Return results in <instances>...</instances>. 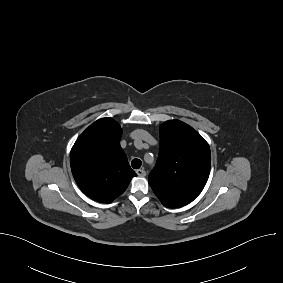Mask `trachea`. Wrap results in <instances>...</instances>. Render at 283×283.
Returning <instances> with one entry per match:
<instances>
[{"label":"trachea","instance_id":"1","mask_svg":"<svg viewBox=\"0 0 283 283\" xmlns=\"http://www.w3.org/2000/svg\"><path fill=\"white\" fill-rule=\"evenodd\" d=\"M141 160L140 159H133L132 162H131V166L134 168V169H139L141 167Z\"/></svg>","mask_w":283,"mask_h":283}]
</instances>
